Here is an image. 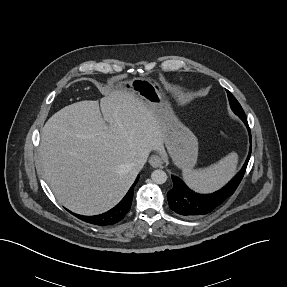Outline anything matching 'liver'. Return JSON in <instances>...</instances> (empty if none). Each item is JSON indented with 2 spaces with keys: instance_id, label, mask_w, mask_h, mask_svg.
<instances>
[{
  "instance_id": "1",
  "label": "liver",
  "mask_w": 287,
  "mask_h": 287,
  "mask_svg": "<svg viewBox=\"0 0 287 287\" xmlns=\"http://www.w3.org/2000/svg\"><path fill=\"white\" fill-rule=\"evenodd\" d=\"M101 110V111H100ZM160 119L131 91H112L56 112L42 128L40 164L52 192L69 210L96 215L114 207L139 171L138 155L164 152Z\"/></svg>"
}]
</instances>
